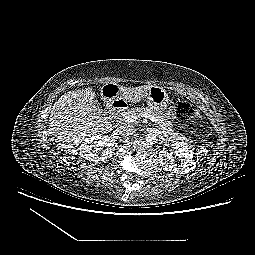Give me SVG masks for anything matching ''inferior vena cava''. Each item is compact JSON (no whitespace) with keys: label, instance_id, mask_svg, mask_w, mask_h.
Returning a JSON list of instances; mask_svg holds the SVG:
<instances>
[{"label":"inferior vena cava","instance_id":"602c4592","mask_svg":"<svg viewBox=\"0 0 255 255\" xmlns=\"http://www.w3.org/2000/svg\"><path fill=\"white\" fill-rule=\"evenodd\" d=\"M116 131L120 136L126 137L135 133V127L133 125H123L120 126Z\"/></svg>","mask_w":255,"mask_h":255}]
</instances>
